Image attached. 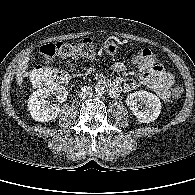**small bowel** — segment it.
<instances>
[{
	"mask_svg": "<svg viewBox=\"0 0 195 195\" xmlns=\"http://www.w3.org/2000/svg\"><path fill=\"white\" fill-rule=\"evenodd\" d=\"M160 70H149L142 65L137 64V71L142 84L152 89L163 101L170 99V87L173 84L172 74L165 68L164 64L157 59ZM113 70L117 73H124L127 67L122 62H116L113 65ZM137 83H126L124 78H117L113 81L110 92L113 96H119L127 91L135 89Z\"/></svg>",
	"mask_w": 195,
	"mask_h": 195,
	"instance_id": "1",
	"label": "small bowel"
}]
</instances>
